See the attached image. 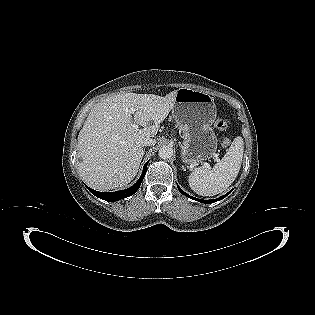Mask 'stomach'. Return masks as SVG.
I'll return each instance as SVG.
<instances>
[{
	"label": "stomach",
	"instance_id": "stomach-1",
	"mask_svg": "<svg viewBox=\"0 0 315 315\" xmlns=\"http://www.w3.org/2000/svg\"><path fill=\"white\" fill-rule=\"evenodd\" d=\"M214 98L207 92L180 88L177 90L172 116L182 131V161L194 167L211 159L218 140L213 130L216 119Z\"/></svg>",
	"mask_w": 315,
	"mask_h": 315
}]
</instances>
